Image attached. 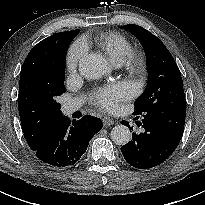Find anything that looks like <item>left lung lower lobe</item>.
Returning a JSON list of instances; mask_svg holds the SVG:
<instances>
[{
	"label": "left lung lower lobe",
	"instance_id": "1",
	"mask_svg": "<svg viewBox=\"0 0 205 205\" xmlns=\"http://www.w3.org/2000/svg\"><path fill=\"white\" fill-rule=\"evenodd\" d=\"M185 115L186 102L166 103L138 115L136 119L141 116L142 120L136 124L141 126L142 132L133 133L132 140L121 147L124 159L138 169H148L163 163L182 138ZM122 124L128 126L127 122Z\"/></svg>",
	"mask_w": 205,
	"mask_h": 205
}]
</instances>
